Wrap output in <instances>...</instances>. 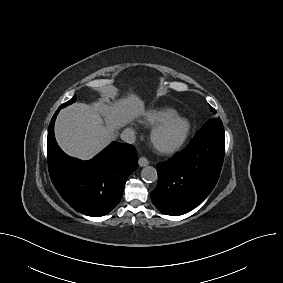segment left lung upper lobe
I'll list each match as a JSON object with an SVG mask.
<instances>
[{
	"instance_id": "obj_1",
	"label": "left lung upper lobe",
	"mask_w": 283,
	"mask_h": 283,
	"mask_svg": "<svg viewBox=\"0 0 283 283\" xmlns=\"http://www.w3.org/2000/svg\"><path fill=\"white\" fill-rule=\"evenodd\" d=\"M210 110L213 113H216L215 109L211 106ZM197 134H214L217 136L225 137L222 121L219 118L210 119L202 126Z\"/></svg>"
}]
</instances>
